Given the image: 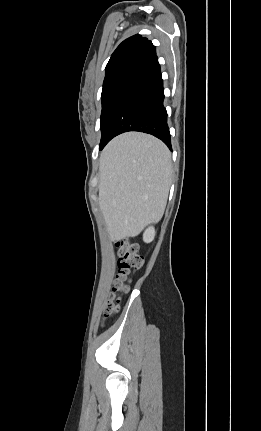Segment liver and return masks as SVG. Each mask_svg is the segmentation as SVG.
I'll list each match as a JSON object with an SVG mask.
<instances>
[{"instance_id":"liver-1","label":"liver","mask_w":261,"mask_h":431,"mask_svg":"<svg viewBox=\"0 0 261 431\" xmlns=\"http://www.w3.org/2000/svg\"><path fill=\"white\" fill-rule=\"evenodd\" d=\"M99 206L111 240L135 237L163 215L172 177L171 153L159 139L127 132L100 156Z\"/></svg>"}]
</instances>
